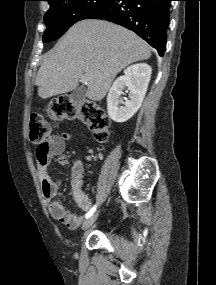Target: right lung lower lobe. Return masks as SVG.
<instances>
[{
  "label": "right lung lower lobe",
  "mask_w": 216,
  "mask_h": 285,
  "mask_svg": "<svg viewBox=\"0 0 216 285\" xmlns=\"http://www.w3.org/2000/svg\"><path fill=\"white\" fill-rule=\"evenodd\" d=\"M172 0H110L85 19H102L133 30L162 57Z\"/></svg>",
  "instance_id": "right-lung-lower-lobe-1"
}]
</instances>
